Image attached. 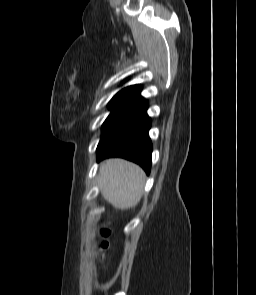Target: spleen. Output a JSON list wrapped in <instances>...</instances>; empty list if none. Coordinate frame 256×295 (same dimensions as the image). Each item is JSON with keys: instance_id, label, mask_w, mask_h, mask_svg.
<instances>
[{"instance_id": "spleen-1", "label": "spleen", "mask_w": 256, "mask_h": 295, "mask_svg": "<svg viewBox=\"0 0 256 295\" xmlns=\"http://www.w3.org/2000/svg\"><path fill=\"white\" fill-rule=\"evenodd\" d=\"M144 181L141 168L121 159H110L102 164L98 178L104 199L122 210L138 204Z\"/></svg>"}]
</instances>
